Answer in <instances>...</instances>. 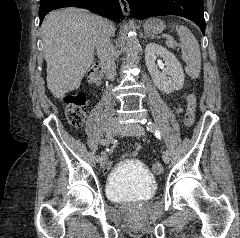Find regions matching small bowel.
Listing matches in <instances>:
<instances>
[{
	"label": "small bowel",
	"instance_id": "1",
	"mask_svg": "<svg viewBox=\"0 0 240 238\" xmlns=\"http://www.w3.org/2000/svg\"><path fill=\"white\" fill-rule=\"evenodd\" d=\"M178 111H181V109H178ZM144 146H145L144 143H133L132 147L136 149H123L121 152L123 154H142L143 150L139 148H144ZM114 164H115L114 161H107V163L104 164L103 170H101L100 172L101 175H106L107 172H110L111 166H114Z\"/></svg>",
	"mask_w": 240,
	"mask_h": 238
}]
</instances>
